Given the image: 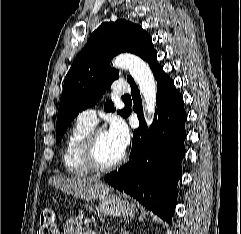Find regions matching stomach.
<instances>
[{"mask_svg":"<svg viewBox=\"0 0 241 234\" xmlns=\"http://www.w3.org/2000/svg\"><path fill=\"white\" fill-rule=\"evenodd\" d=\"M96 210L104 215L126 217L133 216L135 206L133 203L124 200L122 197L115 194H105L99 198V204ZM83 215L79 214L75 217H70L64 224L63 234H84L82 229Z\"/></svg>","mask_w":241,"mask_h":234,"instance_id":"0dacf381","label":"stomach"}]
</instances>
